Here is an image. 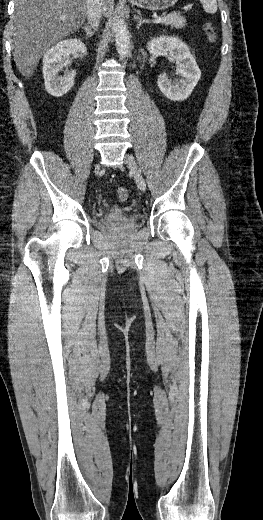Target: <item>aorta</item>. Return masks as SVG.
Wrapping results in <instances>:
<instances>
[{"label": "aorta", "mask_w": 263, "mask_h": 520, "mask_svg": "<svg viewBox=\"0 0 263 520\" xmlns=\"http://www.w3.org/2000/svg\"><path fill=\"white\" fill-rule=\"evenodd\" d=\"M114 36L117 52L121 58H125L130 52V35L124 20L114 24Z\"/></svg>", "instance_id": "762f6f07"}]
</instances>
